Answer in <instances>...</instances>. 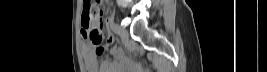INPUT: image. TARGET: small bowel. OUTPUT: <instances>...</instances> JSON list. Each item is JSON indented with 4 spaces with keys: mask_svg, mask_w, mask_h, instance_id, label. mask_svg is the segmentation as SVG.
Here are the masks:
<instances>
[{
    "mask_svg": "<svg viewBox=\"0 0 267 72\" xmlns=\"http://www.w3.org/2000/svg\"><path fill=\"white\" fill-rule=\"evenodd\" d=\"M113 42L112 38L108 39V45L106 47H103V51L106 50ZM96 48H94L91 44H85L83 47V56H84V62L86 65V68L88 72H114L115 69L112 66L111 61H104L100 66L98 64L97 58H96ZM115 56H119L118 52H113Z\"/></svg>",
    "mask_w": 267,
    "mask_h": 72,
    "instance_id": "1",
    "label": "small bowel"
}]
</instances>
